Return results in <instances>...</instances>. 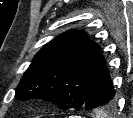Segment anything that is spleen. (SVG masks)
<instances>
[{"label":"spleen","instance_id":"1","mask_svg":"<svg viewBox=\"0 0 133 118\" xmlns=\"http://www.w3.org/2000/svg\"><path fill=\"white\" fill-rule=\"evenodd\" d=\"M99 116H102V118H104L106 115L105 114H100ZM104 116V117H103Z\"/></svg>","mask_w":133,"mask_h":118}]
</instances>
